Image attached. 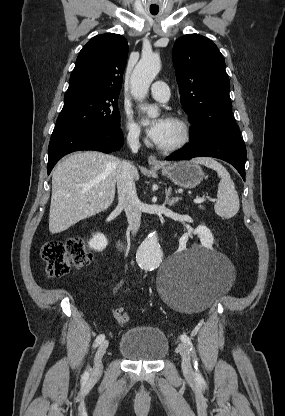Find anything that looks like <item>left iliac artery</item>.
<instances>
[{"instance_id":"obj_1","label":"left iliac artery","mask_w":285,"mask_h":416,"mask_svg":"<svg viewBox=\"0 0 285 416\" xmlns=\"http://www.w3.org/2000/svg\"><path fill=\"white\" fill-rule=\"evenodd\" d=\"M181 340H182L183 343H185L189 347V350L194 355L193 363H194V368L196 370V373H195L196 374V379L199 380V381L203 380V377H202V375L200 374V372L198 370V360H197V357H196V354H195V348H194V346L191 342V339L186 334H182L181 335Z\"/></svg>"}]
</instances>
